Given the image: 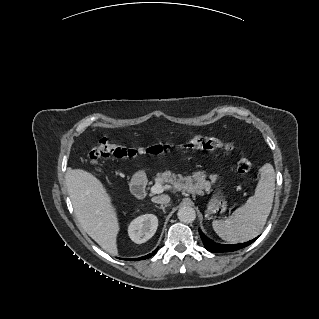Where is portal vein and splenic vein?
I'll return each instance as SVG.
<instances>
[{"mask_svg":"<svg viewBox=\"0 0 319 319\" xmlns=\"http://www.w3.org/2000/svg\"><path fill=\"white\" fill-rule=\"evenodd\" d=\"M163 186L160 183H156L155 185H153L150 189V192L152 194H160L163 192Z\"/></svg>","mask_w":319,"mask_h":319,"instance_id":"portal-vein-and-splenic-vein-1","label":"portal vein and splenic vein"}]
</instances>
